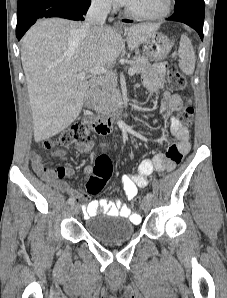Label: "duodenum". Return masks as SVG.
Returning a JSON list of instances; mask_svg holds the SVG:
<instances>
[{
	"instance_id": "obj_1",
	"label": "duodenum",
	"mask_w": 227,
	"mask_h": 298,
	"mask_svg": "<svg viewBox=\"0 0 227 298\" xmlns=\"http://www.w3.org/2000/svg\"><path fill=\"white\" fill-rule=\"evenodd\" d=\"M96 104V91L90 90L85 97V106L91 110ZM124 117V110L120 108L114 113L104 116L96 117L93 115H87V124L98 134H108L112 131L113 124Z\"/></svg>"
}]
</instances>
